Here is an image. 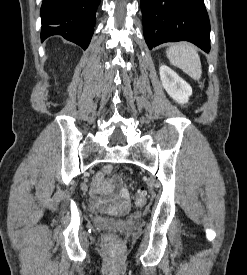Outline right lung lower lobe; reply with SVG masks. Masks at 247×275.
<instances>
[{"mask_svg": "<svg viewBox=\"0 0 247 275\" xmlns=\"http://www.w3.org/2000/svg\"><path fill=\"white\" fill-rule=\"evenodd\" d=\"M100 0H43L41 40L61 35L83 49L91 40Z\"/></svg>", "mask_w": 247, "mask_h": 275, "instance_id": "98d812e1", "label": "right lung lower lobe"}]
</instances>
